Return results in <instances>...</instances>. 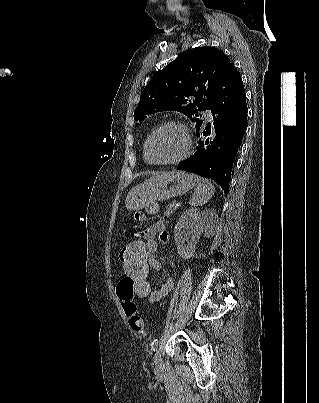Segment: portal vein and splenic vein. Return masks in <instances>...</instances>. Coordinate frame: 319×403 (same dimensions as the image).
Segmentation results:
<instances>
[{
	"mask_svg": "<svg viewBox=\"0 0 319 403\" xmlns=\"http://www.w3.org/2000/svg\"><path fill=\"white\" fill-rule=\"evenodd\" d=\"M174 203L176 204V206H181V203H180V202L174 201Z\"/></svg>",
	"mask_w": 319,
	"mask_h": 403,
	"instance_id": "portal-vein-and-splenic-vein-1",
	"label": "portal vein and splenic vein"
}]
</instances>
